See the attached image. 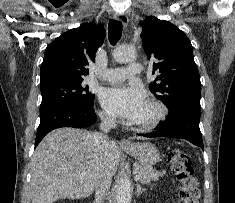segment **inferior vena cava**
I'll list each match as a JSON object with an SVG mask.
<instances>
[{
    "label": "inferior vena cava",
    "mask_w": 235,
    "mask_h": 203,
    "mask_svg": "<svg viewBox=\"0 0 235 203\" xmlns=\"http://www.w3.org/2000/svg\"><path fill=\"white\" fill-rule=\"evenodd\" d=\"M100 133H96L95 138L101 144L102 148H106L109 144V139L106 134L116 126V119L114 116L101 115ZM112 176L106 166L98 178L95 192V203H103L105 196L111 186Z\"/></svg>",
    "instance_id": "1"
}]
</instances>
